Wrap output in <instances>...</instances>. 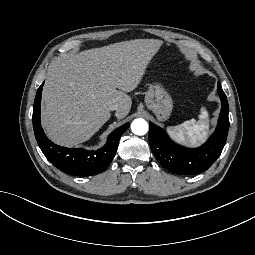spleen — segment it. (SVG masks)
<instances>
[{
  "mask_svg": "<svg viewBox=\"0 0 255 255\" xmlns=\"http://www.w3.org/2000/svg\"><path fill=\"white\" fill-rule=\"evenodd\" d=\"M207 118V113L203 112L200 116L201 120H205ZM207 124L202 121L201 123H197L195 119H191L188 121H184L181 124L173 125L168 127L169 133L179 140L180 142L197 144L206 135Z\"/></svg>",
  "mask_w": 255,
  "mask_h": 255,
  "instance_id": "obj_1",
  "label": "spleen"
}]
</instances>
